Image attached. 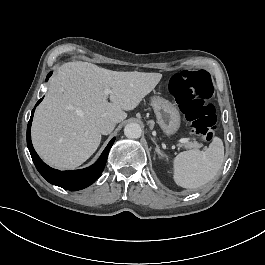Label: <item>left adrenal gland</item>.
<instances>
[{"instance_id":"1","label":"left adrenal gland","mask_w":265,"mask_h":265,"mask_svg":"<svg viewBox=\"0 0 265 265\" xmlns=\"http://www.w3.org/2000/svg\"><path fill=\"white\" fill-rule=\"evenodd\" d=\"M152 142L155 144L156 146V151H157V156L158 158H163V155L160 152V148L158 147L157 143L152 139Z\"/></svg>"}]
</instances>
